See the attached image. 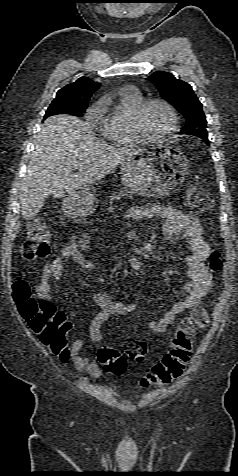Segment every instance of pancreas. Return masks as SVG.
I'll list each match as a JSON object with an SVG mask.
<instances>
[{"label":"pancreas","instance_id":"pancreas-1","mask_svg":"<svg viewBox=\"0 0 238 476\" xmlns=\"http://www.w3.org/2000/svg\"><path fill=\"white\" fill-rule=\"evenodd\" d=\"M126 194L123 192H119L117 195L113 194L108 197L106 203L109 204L110 207H112V204L114 200H119L121 197H124Z\"/></svg>","mask_w":238,"mask_h":476}]
</instances>
